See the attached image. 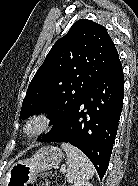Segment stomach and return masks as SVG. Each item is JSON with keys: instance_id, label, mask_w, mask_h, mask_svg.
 I'll return each mask as SVG.
<instances>
[{"instance_id": "1", "label": "stomach", "mask_w": 138, "mask_h": 186, "mask_svg": "<svg viewBox=\"0 0 138 186\" xmlns=\"http://www.w3.org/2000/svg\"><path fill=\"white\" fill-rule=\"evenodd\" d=\"M63 158L58 147H43L29 159L12 164L4 176L3 186H31L39 172L56 167Z\"/></svg>"}]
</instances>
